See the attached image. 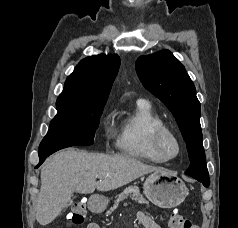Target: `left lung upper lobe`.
<instances>
[{
    "label": "left lung upper lobe",
    "mask_w": 238,
    "mask_h": 228,
    "mask_svg": "<svg viewBox=\"0 0 238 228\" xmlns=\"http://www.w3.org/2000/svg\"><path fill=\"white\" fill-rule=\"evenodd\" d=\"M136 71L144 87L159 98L176 118L191 162L186 173L208 176L202 145L200 102L184 66L170 51L162 50L139 57Z\"/></svg>",
    "instance_id": "5c2ea615"
}]
</instances>
